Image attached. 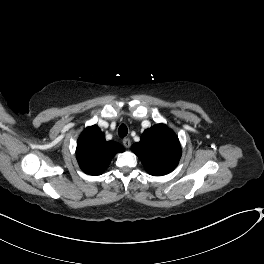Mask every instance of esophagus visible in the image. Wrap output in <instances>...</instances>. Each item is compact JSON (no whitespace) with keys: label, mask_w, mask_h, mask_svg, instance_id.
Segmentation results:
<instances>
[{"label":"esophagus","mask_w":264,"mask_h":264,"mask_svg":"<svg viewBox=\"0 0 264 264\" xmlns=\"http://www.w3.org/2000/svg\"><path fill=\"white\" fill-rule=\"evenodd\" d=\"M122 142L126 148H129L131 146V141L129 138H124Z\"/></svg>","instance_id":"obj_1"}]
</instances>
